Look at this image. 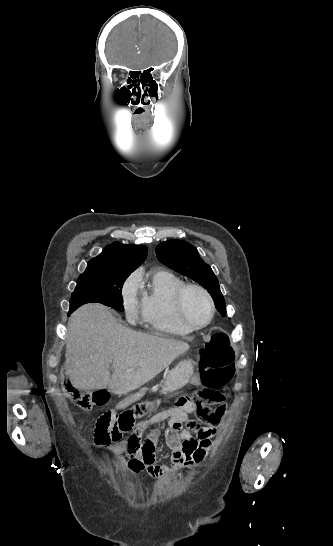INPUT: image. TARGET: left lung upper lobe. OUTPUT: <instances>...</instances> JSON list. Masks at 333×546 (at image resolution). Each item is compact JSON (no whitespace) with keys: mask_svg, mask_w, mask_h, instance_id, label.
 I'll use <instances>...</instances> for the list:
<instances>
[{"mask_svg":"<svg viewBox=\"0 0 333 546\" xmlns=\"http://www.w3.org/2000/svg\"><path fill=\"white\" fill-rule=\"evenodd\" d=\"M161 263L203 286L212 296L217 310L225 316V300L211 267L199 256L197 249L183 240H168L156 247Z\"/></svg>","mask_w":333,"mask_h":546,"instance_id":"obj_1","label":"left lung upper lobe"}]
</instances>
